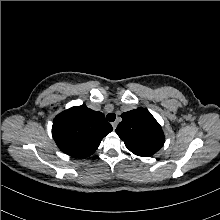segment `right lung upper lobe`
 Returning a JSON list of instances; mask_svg holds the SVG:
<instances>
[{"label":"right lung upper lobe","instance_id":"right-lung-upper-lobe-1","mask_svg":"<svg viewBox=\"0 0 220 220\" xmlns=\"http://www.w3.org/2000/svg\"><path fill=\"white\" fill-rule=\"evenodd\" d=\"M112 126L101 112L86 105L71 107L58 114L53 122L52 135L59 149L75 158L93 154Z\"/></svg>","mask_w":220,"mask_h":220}]
</instances>
